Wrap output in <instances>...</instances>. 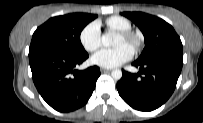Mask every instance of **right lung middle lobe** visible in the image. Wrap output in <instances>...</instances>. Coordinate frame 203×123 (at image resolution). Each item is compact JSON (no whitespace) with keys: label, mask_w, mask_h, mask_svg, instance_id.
<instances>
[{"label":"right lung middle lobe","mask_w":203,"mask_h":123,"mask_svg":"<svg viewBox=\"0 0 203 123\" xmlns=\"http://www.w3.org/2000/svg\"><path fill=\"white\" fill-rule=\"evenodd\" d=\"M96 17L87 13L53 17L34 32L30 48H44L71 55L84 54L86 51L81 44L80 34Z\"/></svg>","instance_id":"1"}]
</instances>
